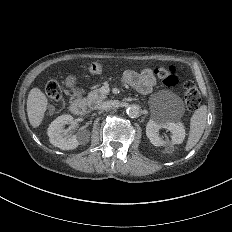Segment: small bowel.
Returning a JSON list of instances; mask_svg holds the SVG:
<instances>
[{"label": "small bowel", "mask_w": 232, "mask_h": 232, "mask_svg": "<svg viewBox=\"0 0 232 232\" xmlns=\"http://www.w3.org/2000/svg\"><path fill=\"white\" fill-rule=\"evenodd\" d=\"M123 76L143 95H148L159 87V80L151 69H146L143 72L126 70Z\"/></svg>", "instance_id": "obj_1"}]
</instances>
